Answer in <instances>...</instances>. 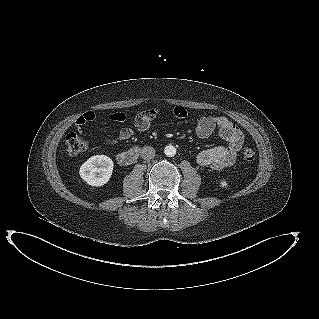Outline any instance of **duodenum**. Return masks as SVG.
Wrapping results in <instances>:
<instances>
[{
  "mask_svg": "<svg viewBox=\"0 0 319 319\" xmlns=\"http://www.w3.org/2000/svg\"><path fill=\"white\" fill-rule=\"evenodd\" d=\"M139 156L138 148H131L130 150L121 152L118 154L117 159L122 165H130L132 164Z\"/></svg>",
  "mask_w": 319,
  "mask_h": 319,
  "instance_id": "410a0bca",
  "label": "duodenum"
}]
</instances>
